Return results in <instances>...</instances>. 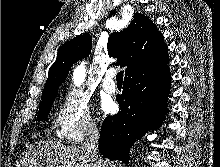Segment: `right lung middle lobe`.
I'll use <instances>...</instances> for the list:
<instances>
[{
    "label": "right lung middle lobe",
    "mask_w": 220,
    "mask_h": 167,
    "mask_svg": "<svg viewBox=\"0 0 220 167\" xmlns=\"http://www.w3.org/2000/svg\"><path fill=\"white\" fill-rule=\"evenodd\" d=\"M55 93L54 95L44 99L40 103V108H39V114H38V121L41 120H46L49 114V111L51 109L52 103L56 97Z\"/></svg>",
    "instance_id": "1"
}]
</instances>
